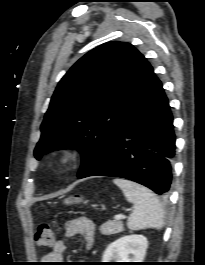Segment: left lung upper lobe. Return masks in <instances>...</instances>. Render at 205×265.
Instances as JSON below:
<instances>
[{
	"mask_svg": "<svg viewBox=\"0 0 205 265\" xmlns=\"http://www.w3.org/2000/svg\"><path fill=\"white\" fill-rule=\"evenodd\" d=\"M152 73V66L129 43L108 42L88 52L56 87L41 124L36 159L56 149L76 148L82 155L80 173L142 94Z\"/></svg>",
	"mask_w": 205,
	"mask_h": 265,
	"instance_id": "left-lung-upper-lobe-1",
	"label": "left lung upper lobe"
}]
</instances>
